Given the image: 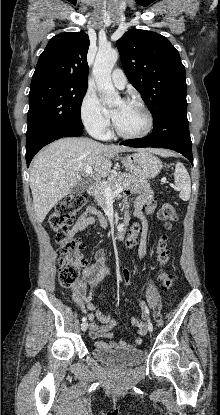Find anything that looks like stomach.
<instances>
[{"instance_id":"1","label":"stomach","mask_w":220,"mask_h":415,"mask_svg":"<svg viewBox=\"0 0 220 415\" xmlns=\"http://www.w3.org/2000/svg\"><path fill=\"white\" fill-rule=\"evenodd\" d=\"M126 169L141 179H151L162 169L159 158L146 150H138L133 154L120 157Z\"/></svg>"}]
</instances>
